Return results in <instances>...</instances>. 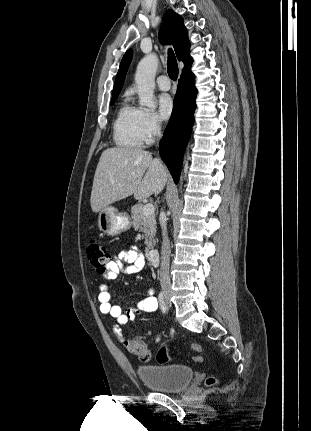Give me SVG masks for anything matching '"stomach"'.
Instances as JSON below:
<instances>
[{"label":"stomach","mask_w":311,"mask_h":431,"mask_svg":"<svg viewBox=\"0 0 311 431\" xmlns=\"http://www.w3.org/2000/svg\"><path fill=\"white\" fill-rule=\"evenodd\" d=\"M131 225L129 214L118 212L117 208H113V206L103 208L97 217V227L105 235H119L122 231L130 229Z\"/></svg>","instance_id":"obj_1"}]
</instances>
